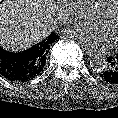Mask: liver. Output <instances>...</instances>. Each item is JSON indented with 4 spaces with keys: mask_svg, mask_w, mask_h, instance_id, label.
<instances>
[{
    "mask_svg": "<svg viewBox=\"0 0 118 118\" xmlns=\"http://www.w3.org/2000/svg\"><path fill=\"white\" fill-rule=\"evenodd\" d=\"M54 0H4L0 4V46L21 51L55 29Z\"/></svg>",
    "mask_w": 118,
    "mask_h": 118,
    "instance_id": "obj_1",
    "label": "liver"
}]
</instances>
